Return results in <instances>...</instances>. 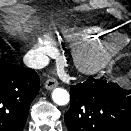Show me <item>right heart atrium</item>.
I'll return each instance as SVG.
<instances>
[{
  "label": "right heart atrium",
  "instance_id": "d8ad5b80",
  "mask_svg": "<svg viewBox=\"0 0 131 131\" xmlns=\"http://www.w3.org/2000/svg\"><path fill=\"white\" fill-rule=\"evenodd\" d=\"M54 51V44L45 37H41L38 39L34 49V53L38 54L41 57L47 56Z\"/></svg>",
  "mask_w": 131,
  "mask_h": 131
}]
</instances>
